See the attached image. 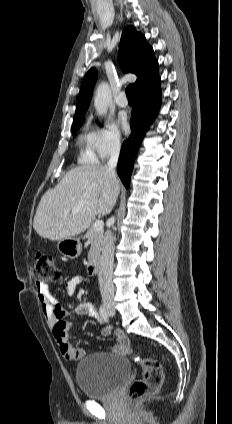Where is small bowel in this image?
Listing matches in <instances>:
<instances>
[{
    "label": "small bowel",
    "instance_id": "c3829d8e",
    "mask_svg": "<svg viewBox=\"0 0 232 424\" xmlns=\"http://www.w3.org/2000/svg\"><path fill=\"white\" fill-rule=\"evenodd\" d=\"M84 282H86V279L81 276L72 277L65 285L66 293L69 296L74 295L77 288ZM35 288L41 311L62 356L69 361H77L83 358L87 351L84 348L74 347L69 340L68 330L72 325L70 319L76 316H88L102 322L103 319L99 315L94 303L91 301H82L68 310L56 303L54 295L46 284L36 282ZM110 334L111 327L105 326L102 328V336L107 337ZM129 350V340L127 336L122 331H117L116 343L112 347V351L116 354H126Z\"/></svg>",
    "mask_w": 232,
    "mask_h": 424
}]
</instances>
